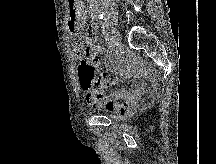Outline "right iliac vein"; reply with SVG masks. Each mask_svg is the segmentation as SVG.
Segmentation results:
<instances>
[{"label": "right iliac vein", "mask_w": 216, "mask_h": 164, "mask_svg": "<svg viewBox=\"0 0 216 164\" xmlns=\"http://www.w3.org/2000/svg\"><path fill=\"white\" fill-rule=\"evenodd\" d=\"M111 40L113 41V44L115 46H120L121 45V40L119 37L118 32L115 29L111 30V36H110Z\"/></svg>", "instance_id": "obj_1"}]
</instances>
